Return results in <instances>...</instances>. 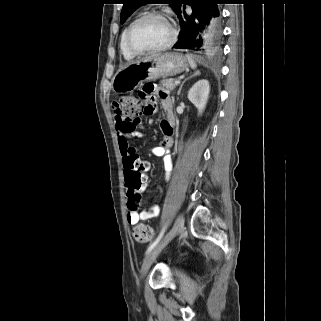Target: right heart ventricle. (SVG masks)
Masks as SVG:
<instances>
[{"label":"right heart ventricle","instance_id":"1","mask_svg":"<svg viewBox=\"0 0 321 321\" xmlns=\"http://www.w3.org/2000/svg\"><path fill=\"white\" fill-rule=\"evenodd\" d=\"M129 25L123 30L121 37H120V51H121L125 60H132L136 57L127 50L126 45H125V35H126V31L129 27Z\"/></svg>","mask_w":321,"mask_h":321}]
</instances>
